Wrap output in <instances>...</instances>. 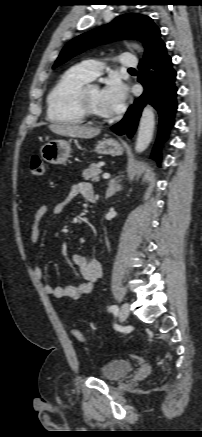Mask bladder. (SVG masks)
I'll use <instances>...</instances> for the list:
<instances>
[{
    "mask_svg": "<svg viewBox=\"0 0 202 437\" xmlns=\"http://www.w3.org/2000/svg\"><path fill=\"white\" fill-rule=\"evenodd\" d=\"M134 368L133 363L126 359H114L105 363L100 369V375L108 381H118L127 376Z\"/></svg>",
    "mask_w": 202,
    "mask_h": 437,
    "instance_id": "bladder-1",
    "label": "bladder"
}]
</instances>
